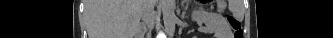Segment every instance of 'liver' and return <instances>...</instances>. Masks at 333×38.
I'll return each mask as SVG.
<instances>
[{"label": "liver", "mask_w": 333, "mask_h": 38, "mask_svg": "<svg viewBox=\"0 0 333 38\" xmlns=\"http://www.w3.org/2000/svg\"><path fill=\"white\" fill-rule=\"evenodd\" d=\"M144 0H86L88 38H133L140 29Z\"/></svg>", "instance_id": "liver-1"}]
</instances>
